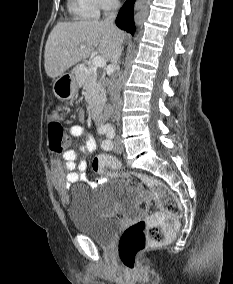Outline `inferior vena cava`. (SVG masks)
Instances as JSON below:
<instances>
[{
  "instance_id": "obj_1",
  "label": "inferior vena cava",
  "mask_w": 233,
  "mask_h": 284,
  "mask_svg": "<svg viewBox=\"0 0 233 284\" xmlns=\"http://www.w3.org/2000/svg\"><path fill=\"white\" fill-rule=\"evenodd\" d=\"M118 8H119V2L118 0H113L112 2V11L109 13V16L106 18L105 22L108 23V24H114V21H115V18L117 16V11H118ZM123 41L120 40V42H118L117 46H116V49L114 51V54H113V57H112V63L115 64L117 63L120 55H121V52H122V45ZM111 91H114V88H111ZM115 98H117V95L114 96Z\"/></svg>"
}]
</instances>
